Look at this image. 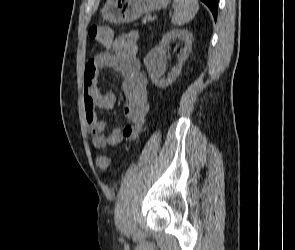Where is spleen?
I'll return each instance as SVG.
<instances>
[{
	"mask_svg": "<svg viewBox=\"0 0 295 250\" xmlns=\"http://www.w3.org/2000/svg\"><path fill=\"white\" fill-rule=\"evenodd\" d=\"M174 5L172 23L175 26L190 22L199 9L198 0H174Z\"/></svg>",
	"mask_w": 295,
	"mask_h": 250,
	"instance_id": "1",
	"label": "spleen"
}]
</instances>
